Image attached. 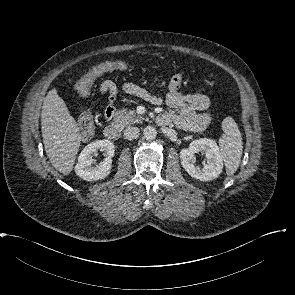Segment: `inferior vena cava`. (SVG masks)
<instances>
[{"label": "inferior vena cava", "instance_id": "obj_1", "mask_svg": "<svg viewBox=\"0 0 295 295\" xmlns=\"http://www.w3.org/2000/svg\"><path fill=\"white\" fill-rule=\"evenodd\" d=\"M139 132V128L131 126L124 131V137L127 140H133L139 136Z\"/></svg>", "mask_w": 295, "mask_h": 295}]
</instances>
